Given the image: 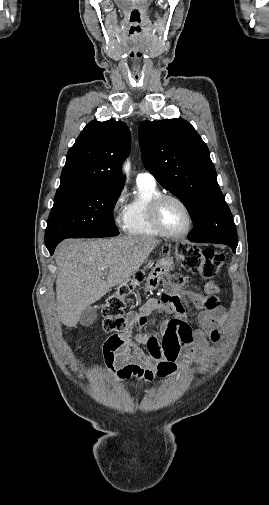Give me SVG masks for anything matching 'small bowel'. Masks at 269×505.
<instances>
[{"label": "small bowel", "instance_id": "c3829d8e", "mask_svg": "<svg viewBox=\"0 0 269 505\" xmlns=\"http://www.w3.org/2000/svg\"><path fill=\"white\" fill-rule=\"evenodd\" d=\"M194 279H202L201 274H192ZM186 281L176 277L171 281L172 291ZM203 281V280H202ZM207 283L205 295H157L149 299L137 312L128 314L131 328L139 330L148 325V316L174 315L162 323L160 333L162 340L147 337L132 331L118 337L108 338L103 345V360L110 371L119 380L137 378L149 381L156 373L159 376L174 374L178 360L184 353L190 360L201 361L211 350V343L220 340L221 326L225 320L224 309L219 304L220 288L214 281ZM193 304L199 310L197 327H192L187 306ZM145 343L147 352L137 346Z\"/></svg>", "mask_w": 269, "mask_h": 505}]
</instances>
